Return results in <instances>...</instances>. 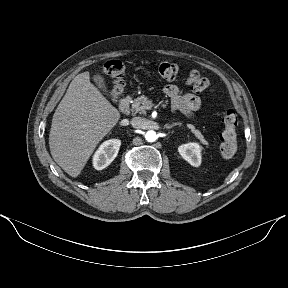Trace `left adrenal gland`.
<instances>
[{
	"label": "left adrenal gland",
	"mask_w": 288,
	"mask_h": 288,
	"mask_svg": "<svg viewBox=\"0 0 288 288\" xmlns=\"http://www.w3.org/2000/svg\"><path fill=\"white\" fill-rule=\"evenodd\" d=\"M174 126H181V123H173V124H166L165 125V127L167 128V129H171V128H173Z\"/></svg>",
	"instance_id": "a2214340"
}]
</instances>
